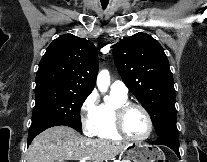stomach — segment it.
<instances>
[{
    "label": "stomach",
    "instance_id": "obj_1",
    "mask_svg": "<svg viewBox=\"0 0 207 162\" xmlns=\"http://www.w3.org/2000/svg\"><path fill=\"white\" fill-rule=\"evenodd\" d=\"M119 160L133 162H154L155 160H165L164 153L156 147L148 144H129L121 152ZM161 162V161H160Z\"/></svg>",
    "mask_w": 207,
    "mask_h": 162
}]
</instances>
